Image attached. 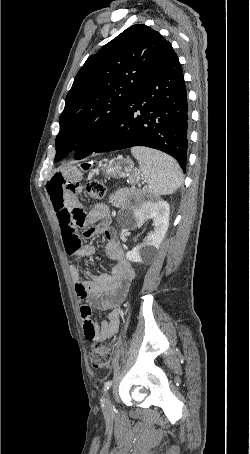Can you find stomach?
Returning <instances> with one entry per match:
<instances>
[{
    "label": "stomach",
    "instance_id": "obj_1",
    "mask_svg": "<svg viewBox=\"0 0 250 454\" xmlns=\"http://www.w3.org/2000/svg\"><path fill=\"white\" fill-rule=\"evenodd\" d=\"M83 167H87L83 164ZM103 170L106 175L114 177H127L131 184L140 181L142 174L138 169H135L133 162L129 158H117L103 165Z\"/></svg>",
    "mask_w": 250,
    "mask_h": 454
}]
</instances>
